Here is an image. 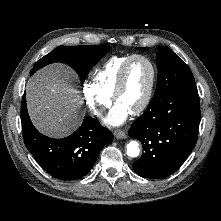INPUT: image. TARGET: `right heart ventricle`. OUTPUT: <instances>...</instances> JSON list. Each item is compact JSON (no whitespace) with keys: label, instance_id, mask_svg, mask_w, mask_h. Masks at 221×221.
Wrapping results in <instances>:
<instances>
[{"label":"right heart ventricle","instance_id":"1","mask_svg":"<svg viewBox=\"0 0 221 221\" xmlns=\"http://www.w3.org/2000/svg\"><path fill=\"white\" fill-rule=\"evenodd\" d=\"M131 56H112L96 71L94 75L95 85L104 95L112 98L120 70Z\"/></svg>","mask_w":221,"mask_h":221}]
</instances>
